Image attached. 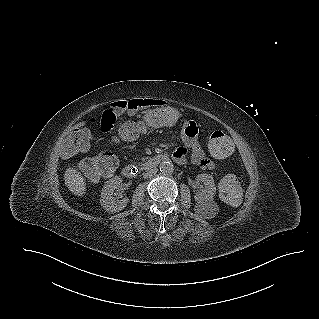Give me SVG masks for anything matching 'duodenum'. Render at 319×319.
<instances>
[{
	"mask_svg": "<svg viewBox=\"0 0 319 319\" xmlns=\"http://www.w3.org/2000/svg\"><path fill=\"white\" fill-rule=\"evenodd\" d=\"M171 156L167 153L151 156L145 163V169L150 170L157 167L161 162L169 159ZM173 157V155H172ZM123 175L127 178H134L138 174V168L134 164H127L123 167Z\"/></svg>",
	"mask_w": 319,
	"mask_h": 319,
	"instance_id": "obj_1",
	"label": "duodenum"
}]
</instances>
